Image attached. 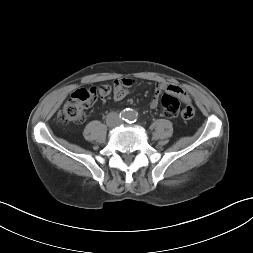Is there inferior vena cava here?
I'll list each match as a JSON object with an SVG mask.
<instances>
[{
	"label": "inferior vena cava",
	"instance_id": "602c4592",
	"mask_svg": "<svg viewBox=\"0 0 253 253\" xmlns=\"http://www.w3.org/2000/svg\"><path fill=\"white\" fill-rule=\"evenodd\" d=\"M121 119L119 118L118 114L116 112H111L107 115L106 123L109 126H116L120 124Z\"/></svg>",
	"mask_w": 253,
	"mask_h": 253
}]
</instances>
